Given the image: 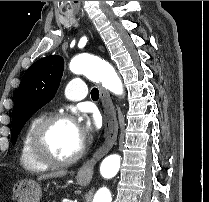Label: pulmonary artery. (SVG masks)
<instances>
[{
    "mask_svg": "<svg viewBox=\"0 0 209 202\" xmlns=\"http://www.w3.org/2000/svg\"><path fill=\"white\" fill-rule=\"evenodd\" d=\"M67 95L73 100H81L86 96L85 80L77 78L65 85Z\"/></svg>",
    "mask_w": 209,
    "mask_h": 202,
    "instance_id": "1",
    "label": "pulmonary artery"
}]
</instances>
